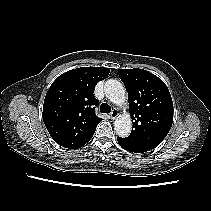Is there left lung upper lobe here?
<instances>
[{
	"label": "left lung upper lobe",
	"instance_id": "1",
	"mask_svg": "<svg viewBox=\"0 0 211 211\" xmlns=\"http://www.w3.org/2000/svg\"><path fill=\"white\" fill-rule=\"evenodd\" d=\"M128 91L131 134L121 138L126 150L143 153L157 147L173 123V102L166 84L143 69H118Z\"/></svg>",
	"mask_w": 211,
	"mask_h": 211
}]
</instances>
